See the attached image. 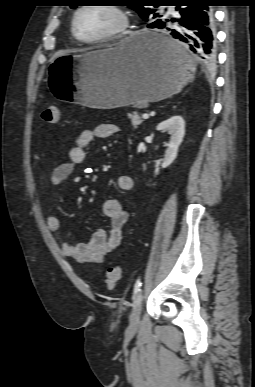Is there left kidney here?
Masks as SVG:
<instances>
[{
	"label": "left kidney",
	"instance_id": "5707ae66",
	"mask_svg": "<svg viewBox=\"0 0 255 387\" xmlns=\"http://www.w3.org/2000/svg\"><path fill=\"white\" fill-rule=\"evenodd\" d=\"M157 130L160 132L168 131L170 134V140L167 144V149L161 165L162 168H166L173 163L177 156L178 147L185 134V121L180 115H175L165 121H162L157 126Z\"/></svg>",
	"mask_w": 255,
	"mask_h": 387
}]
</instances>
